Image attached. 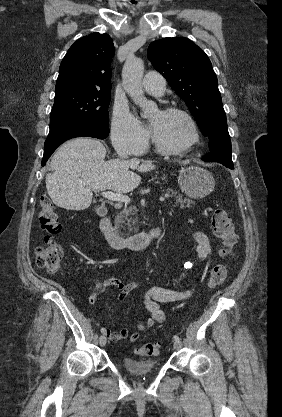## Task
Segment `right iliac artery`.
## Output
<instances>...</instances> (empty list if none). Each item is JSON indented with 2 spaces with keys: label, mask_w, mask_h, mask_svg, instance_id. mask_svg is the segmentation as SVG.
Instances as JSON below:
<instances>
[{
  "label": "right iliac artery",
  "mask_w": 282,
  "mask_h": 417,
  "mask_svg": "<svg viewBox=\"0 0 282 417\" xmlns=\"http://www.w3.org/2000/svg\"><path fill=\"white\" fill-rule=\"evenodd\" d=\"M106 329L105 328H101V333H105Z\"/></svg>",
  "instance_id": "obj_1"
}]
</instances>
